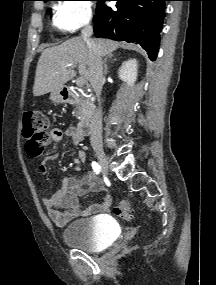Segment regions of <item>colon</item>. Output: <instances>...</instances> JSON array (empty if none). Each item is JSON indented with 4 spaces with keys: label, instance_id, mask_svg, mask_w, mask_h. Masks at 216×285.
<instances>
[{
    "label": "colon",
    "instance_id": "colon-1",
    "mask_svg": "<svg viewBox=\"0 0 216 285\" xmlns=\"http://www.w3.org/2000/svg\"><path fill=\"white\" fill-rule=\"evenodd\" d=\"M48 126L47 116L40 111H29L24 114L22 132L27 140L26 148L30 156L36 157L41 154L48 139ZM133 209L134 203L132 201L122 200L113 208V213L124 221H129Z\"/></svg>",
    "mask_w": 216,
    "mask_h": 285
}]
</instances>
